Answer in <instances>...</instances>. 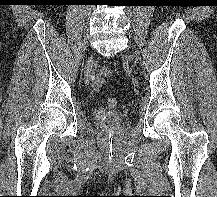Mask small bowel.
Returning <instances> with one entry per match:
<instances>
[{"label":"small bowel","mask_w":217,"mask_h":197,"mask_svg":"<svg viewBox=\"0 0 217 197\" xmlns=\"http://www.w3.org/2000/svg\"><path fill=\"white\" fill-rule=\"evenodd\" d=\"M108 76V72L106 70L103 71L102 76L99 77L95 83H94V87H97L98 85L102 84L105 80V78Z\"/></svg>","instance_id":"1"}]
</instances>
